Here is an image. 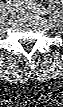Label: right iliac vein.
Returning <instances> with one entry per match:
<instances>
[{
  "label": "right iliac vein",
  "instance_id": "obj_1",
  "mask_svg": "<svg viewBox=\"0 0 63 107\" xmlns=\"http://www.w3.org/2000/svg\"><path fill=\"white\" fill-rule=\"evenodd\" d=\"M17 7L16 6H14V5H12V6H10L9 7V12H10V14L11 15H15L16 14V12H17Z\"/></svg>",
  "mask_w": 63,
  "mask_h": 107
}]
</instances>
